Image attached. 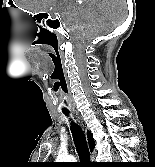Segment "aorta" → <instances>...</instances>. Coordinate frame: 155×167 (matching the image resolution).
<instances>
[{"mask_svg":"<svg viewBox=\"0 0 155 167\" xmlns=\"http://www.w3.org/2000/svg\"><path fill=\"white\" fill-rule=\"evenodd\" d=\"M57 160H59L60 162H73L75 158L70 155H60L58 156Z\"/></svg>","mask_w":155,"mask_h":167,"instance_id":"1","label":"aorta"}]
</instances>
